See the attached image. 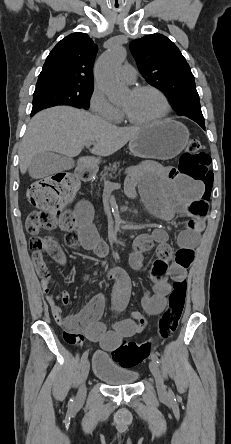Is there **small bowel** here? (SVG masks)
<instances>
[{"label": "small bowel", "instance_id": "small-bowel-1", "mask_svg": "<svg viewBox=\"0 0 231 444\" xmlns=\"http://www.w3.org/2000/svg\"><path fill=\"white\" fill-rule=\"evenodd\" d=\"M125 191L130 197H135L139 191L149 210L161 219L171 220L176 215L195 219L194 228L184 230L179 235V249L174 256L163 229H156L151 234H141L134 241L129 260L135 269L142 268L143 253L157 244V259L150 273L152 290L144 293L142 307L150 315H159L164 311L171 292L169 281L185 279L187 269L194 260V249L204 228V214H197L194 205L202 200L203 184L180 175L173 167L143 163L128 173ZM58 226L66 233V242L70 247H81L100 258L107 256L108 247L96 233L93 209L88 201H80L73 212L61 216ZM33 262L39 275L47 270L42 256H33ZM113 275L117 280L112 294L113 304L118 309H123L128 302L131 283L121 271H114ZM42 287L54 320L62 328L65 340L69 343L80 344L86 338L98 343L103 350L112 351L126 338L140 334L147 326L145 316L132 311L127 317L117 321L111 330H107L100 321L105 306L103 294L91 298L79 313L64 316L62 306L69 305V294L63 291L54 296L47 285ZM58 300H61L62 306Z\"/></svg>", "mask_w": 231, "mask_h": 444}]
</instances>
